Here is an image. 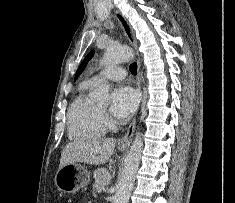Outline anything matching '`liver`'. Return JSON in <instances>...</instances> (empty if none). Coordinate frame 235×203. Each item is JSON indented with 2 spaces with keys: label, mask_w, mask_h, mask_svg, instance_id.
Wrapping results in <instances>:
<instances>
[{
  "label": "liver",
  "mask_w": 235,
  "mask_h": 203,
  "mask_svg": "<svg viewBox=\"0 0 235 203\" xmlns=\"http://www.w3.org/2000/svg\"><path fill=\"white\" fill-rule=\"evenodd\" d=\"M116 142L111 138L70 142L61 153L59 168L71 163L105 164L112 156Z\"/></svg>",
  "instance_id": "obj_1"
}]
</instances>
